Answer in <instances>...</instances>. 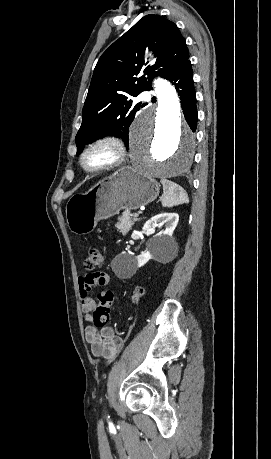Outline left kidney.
I'll list each match as a JSON object with an SVG mask.
<instances>
[{
  "mask_svg": "<svg viewBox=\"0 0 271 459\" xmlns=\"http://www.w3.org/2000/svg\"><path fill=\"white\" fill-rule=\"evenodd\" d=\"M179 222L178 214H157V216H153L150 218L146 224L143 226V231H149V229L161 228V226H165V229L153 237L151 243L148 245V251H144L141 255H135L133 257L130 265L133 267V271L137 269V267H141L144 263H147L151 257H155V259H160L162 255L168 253V251H172L175 241L174 237H172V233L176 228Z\"/></svg>",
  "mask_w": 271,
  "mask_h": 459,
  "instance_id": "1",
  "label": "left kidney"
}]
</instances>
